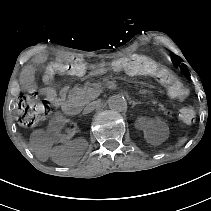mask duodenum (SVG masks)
Segmentation results:
<instances>
[{
  "label": "duodenum",
  "mask_w": 211,
  "mask_h": 211,
  "mask_svg": "<svg viewBox=\"0 0 211 211\" xmlns=\"http://www.w3.org/2000/svg\"><path fill=\"white\" fill-rule=\"evenodd\" d=\"M62 109L67 115L72 116L76 115L79 112L80 107L78 103L74 100H66L62 105Z\"/></svg>",
  "instance_id": "1"
}]
</instances>
